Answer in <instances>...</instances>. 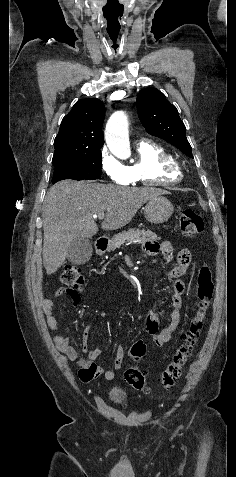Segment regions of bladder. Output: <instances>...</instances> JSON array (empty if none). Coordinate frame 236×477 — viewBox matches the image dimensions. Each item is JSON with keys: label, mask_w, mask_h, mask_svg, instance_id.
Instances as JSON below:
<instances>
[{"label": "bladder", "mask_w": 236, "mask_h": 477, "mask_svg": "<svg viewBox=\"0 0 236 477\" xmlns=\"http://www.w3.org/2000/svg\"><path fill=\"white\" fill-rule=\"evenodd\" d=\"M110 398L113 402L115 403H120L125 400V395L124 392L118 388H115L112 390L110 393Z\"/></svg>", "instance_id": "31cf9c89"}]
</instances>
